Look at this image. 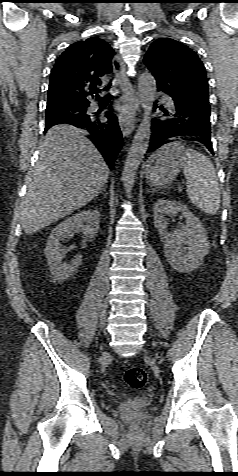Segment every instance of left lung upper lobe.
<instances>
[{"instance_id": "5c2ea615", "label": "left lung upper lobe", "mask_w": 238, "mask_h": 476, "mask_svg": "<svg viewBox=\"0 0 238 476\" xmlns=\"http://www.w3.org/2000/svg\"><path fill=\"white\" fill-rule=\"evenodd\" d=\"M144 63L158 90L171 96L175 104L210 112L205 67L190 48L170 38H159L149 47Z\"/></svg>"}]
</instances>
